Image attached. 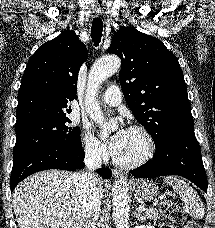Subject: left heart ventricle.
Instances as JSON below:
<instances>
[{
  "label": "left heart ventricle",
  "instance_id": "b2bd125f",
  "mask_svg": "<svg viewBox=\"0 0 215 228\" xmlns=\"http://www.w3.org/2000/svg\"><path fill=\"white\" fill-rule=\"evenodd\" d=\"M145 150V141L141 133L129 130L127 142L122 151L115 157L119 160L131 161L138 158Z\"/></svg>",
  "mask_w": 215,
  "mask_h": 228
}]
</instances>
